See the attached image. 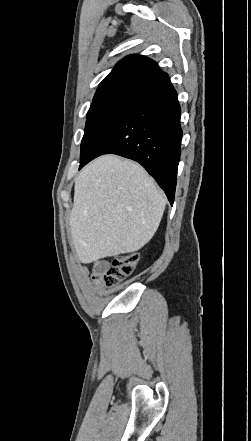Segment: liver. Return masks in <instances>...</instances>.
I'll list each match as a JSON object with an SVG mask.
<instances>
[{"mask_svg":"<svg viewBox=\"0 0 251 441\" xmlns=\"http://www.w3.org/2000/svg\"><path fill=\"white\" fill-rule=\"evenodd\" d=\"M166 201L155 181L138 164L103 155L79 173L70 213V230L78 259L138 251L161 222Z\"/></svg>","mask_w":251,"mask_h":441,"instance_id":"liver-1","label":"liver"}]
</instances>
